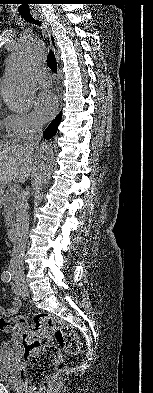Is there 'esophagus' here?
Masks as SVG:
<instances>
[{
	"label": "esophagus",
	"mask_w": 153,
	"mask_h": 393,
	"mask_svg": "<svg viewBox=\"0 0 153 393\" xmlns=\"http://www.w3.org/2000/svg\"><path fill=\"white\" fill-rule=\"evenodd\" d=\"M43 25H44V28L47 31V34H48L49 41H50V44L52 46V49H53L54 53L56 54V57L58 58L59 50H58V47H57L56 38L53 35L52 30H51L49 24H47L45 22V23H43Z\"/></svg>",
	"instance_id": "34e87169"
}]
</instances>
